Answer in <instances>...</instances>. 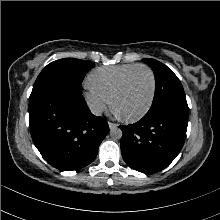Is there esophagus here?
Here are the masks:
<instances>
[{
  "label": "esophagus",
  "instance_id": "esophagus-1",
  "mask_svg": "<svg viewBox=\"0 0 220 220\" xmlns=\"http://www.w3.org/2000/svg\"><path fill=\"white\" fill-rule=\"evenodd\" d=\"M108 125H109L110 129H115L118 126V124L112 123V122H108Z\"/></svg>",
  "mask_w": 220,
  "mask_h": 220
}]
</instances>
